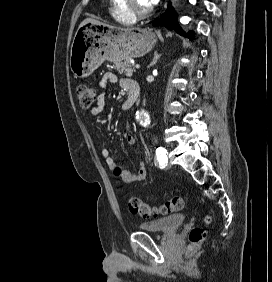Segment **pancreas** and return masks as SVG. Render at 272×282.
<instances>
[{"instance_id": "1", "label": "pancreas", "mask_w": 272, "mask_h": 282, "mask_svg": "<svg viewBox=\"0 0 272 282\" xmlns=\"http://www.w3.org/2000/svg\"><path fill=\"white\" fill-rule=\"evenodd\" d=\"M114 69H116L120 74H124L126 76H132L135 72V68L129 61L125 62H116L113 65Z\"/></svg>"}]
</instances>
